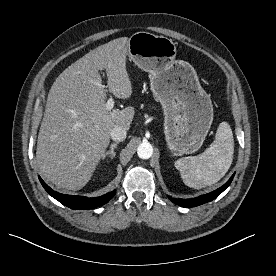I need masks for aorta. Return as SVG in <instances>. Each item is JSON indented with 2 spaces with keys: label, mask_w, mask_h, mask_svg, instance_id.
<instances>
[{
  "label": "aorta",
  "mask_w": 276,
  "mask_h": 276,
  "mask_svg": "<svg viewBox=\"0 0 276 276\" xmlns=\"http://www.w3.org/2000/svg\"><path fill=\"white\" fill-rule=\"evenodd\" d=\"M137 154L141 159H149L153 154V147L148 142L141 143L137 148Z\"/></svg>",
  "instance_id": "762f6f07"
}]
</instances>
